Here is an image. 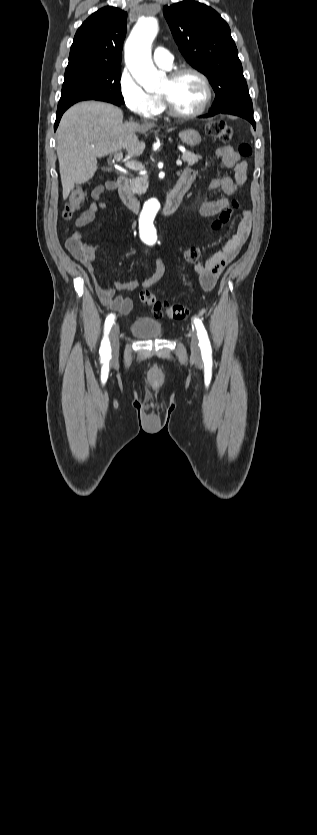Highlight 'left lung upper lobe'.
Here are the masks:
<instances>
[{"label":"left lung upper lobe","instance_id":"1","mask_svg":"<svg viewBox=\"0 0 317 835\" xmlns=\"http://www.w3.org/2000/svg\"><path fill=\"white\" fill-rule=\"evenodd\" d=\"M163 12L182 55L209 78L216 93L212 109L241 107L253 112L226 21L211 7L191 0L165 6Z\"/></svg>","mask_w":317,"mask_h":835}]
</instances>
